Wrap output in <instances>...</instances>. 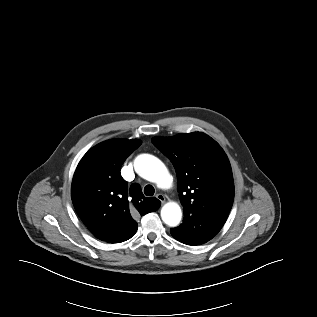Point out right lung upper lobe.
<instances>
[{"label":"right lung upper lobe","instance_id":"right-lung-upper-lobe-1","mask_svg":"<svg viewBox=\"0 0 317 317\" xmlns=\"http://www.w3.org/2000/svg\"><path fill=\"white\" fill-rule=\"evenodd\" d=\"M141 141L112 139L90 149L74 173L71 198L74 208L93 235L109 243L130 239L137 231L135 218L154 212L160 201L145 197L139 184L130 188L120 169Z\"/></svg>","mask_w":317,"mask_h":317}]
</instances>
